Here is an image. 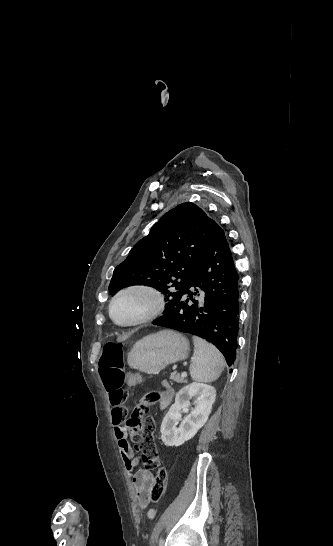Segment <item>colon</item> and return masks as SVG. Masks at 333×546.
<instances>
[{"instance_id": "obj_1", "label": "colon", "mask_w": 333, "mask_h": 546, "mask_svg": "<svg viewBox=\"0 0 333 546\" xmlns=\"http://www.w3.org/2000/svg\"><path fill=\"white\" fill-rule=\"evenodd\" d=\"M99 375L108 392L120 391L125 383L126 375L123 365V347L118 342H108L100 355ZM168 389L152 391L143 401L138 402L126 421L129 439L135 450L143 456L144 467L156 471V479L149 492V501L155 502L162 498L167 480V470L162 464L154 438L155 420L149 414V405L168 397ZM124 398H122L123 400ZM115 402L120 401L116 398Z\"/></svg>"}]
</instances>
